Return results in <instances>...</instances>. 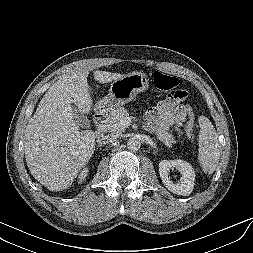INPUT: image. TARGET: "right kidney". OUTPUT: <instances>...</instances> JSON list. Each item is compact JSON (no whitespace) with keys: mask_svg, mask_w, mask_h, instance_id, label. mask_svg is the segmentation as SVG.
<instances>
[{"mask_svg":"<svg viewBox=\"0 0 253 253\" xmlns=\"http://www.w3.org/2000/svg\"><path fill=\"white\" fill-rule=\"evenodd\" d=\"M87 174H88V169L87 168H85L82 172H81V174H80V176H79V178H80V182H82L84 179H85V177L87 176Z\"/></svg>","mask_w":253,"mask_h":253,"instance_id":"ca27d5eb","label":"right kidney"}]
</instances>
